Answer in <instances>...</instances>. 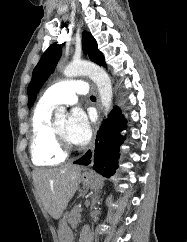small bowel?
<instances>
[{
  "label": "small bowel",
  "mask_w": 187,
  "mask_h": 242,
  "mask_svg": "<svg viewBox=\"0 0 187 242\" xmlns=\"http://www.w3.org/2000/svg\"><path fill=\"white\" fill-rule=\"evenodd\" d=\"M83 234L90 235V232H89V230H88V229H84V230H83V232H82V235H83ZM90 236H91V235H90Z\"/></svg>",
  "instance_id": "small-bowel-1"
}]
</instances>
